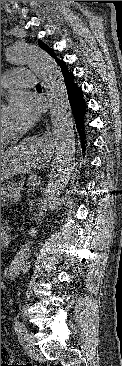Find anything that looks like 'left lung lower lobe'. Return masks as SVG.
Listing matches in <instances>:
<instances>
[{"instance_id":"0a47b994","label":"left lung lower lobe","mask_w":122,"mask_h":366,"mask_svg":"<svg viewBox=\"0 0 122 366\" xmlns=\"http://www.w3.org/2000/svg\"><path fill=\"white\" fill-rule=\"evenodd\" d=\"M56 62L59 66V69L61 70L65 82L70 106L73 110L77 128L80 134L82 149L85 151L86 147H90V144L89 140L86 138L87 134L84 133L82 125L84 113L87 111V105L83 96V91L81 87H78L77 84L74 83L75 76L67 69L65 62L60 59L56 60Z\"/></svg>"}]
</instances>
